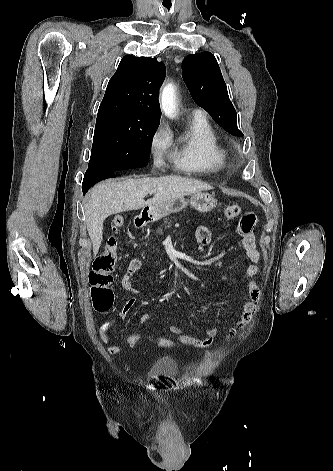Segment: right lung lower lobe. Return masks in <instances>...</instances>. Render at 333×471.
<instances>
[{"label": "right lung lower lobe", "instance_id": "98d812e1", "mask_svg": "<svg viewBox=\"0 0 333 471\" xmlns=\"http://www.w3.org/2000/svg\"><path fill=\"white\" fill-rule=\"evenodd\" d=\"M118 172H95V171H86L82 183L83 194L97 182L104 180L106 178L115 177Z\"/></svg>", "mask_w": 333, "mask_h": 471}]
</instances>
